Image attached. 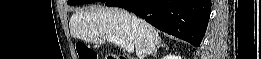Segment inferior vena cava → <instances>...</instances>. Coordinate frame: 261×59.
Segmentation results:
<instances>
[{
    "label": "inferior vena cava",
    "instance_id": "obj_1",
    "mask_svg": "<svg viewBox=\"0 0 261 59\" xmlns=\"http://www.w3.org/2000/svg\"><path fill=\"white\" fill-rule=\"evenodd\" d=\"M132 27L136 28L144 38L148 36V32L145 29L144 22L140 18L132 16Z\"/></svg>",
    "mask_w": 261,
    "mask_h": 59
}]
</instances>
